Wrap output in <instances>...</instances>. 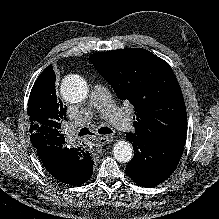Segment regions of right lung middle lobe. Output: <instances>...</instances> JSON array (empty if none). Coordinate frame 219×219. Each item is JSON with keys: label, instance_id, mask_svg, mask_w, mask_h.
I'll use <instances>...</instances> for the list:
<instances>
[{"label": "right lung middle lobe", "instance_id": "dd1d6c3e", "mask_svg": "<svg viewBox=\"0 0 219 219\" xmlns=\"http://www.w3.org/2000/svg\"><path fill=\"white\" fill-rule=\"evenodd\" d=\"M28 116H29V120L33 119H39L41 118L42 120L40 121L41 123H43V125L52 127L51 124H49L48 122L51 121V118L48 115H43L41 114V111L39 110L38 106H34V107H29V103H28Z\"/></svg>", "mask_w": 219, "mask_h": 219}]
</instances>
